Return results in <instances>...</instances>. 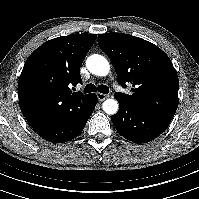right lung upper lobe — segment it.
Instances as JSON below:
<instances>
[{
    "label": "right lung upper lobe",
    "instance_id": "obj_1",
    "mask_svg": "<svg viewBox=\"0 0 199 199\" xmlns=\"http://www.w3.org/2000/svg\"><path fill=\"white\" fill-rule=\"evenodd\" d=\"M95 34H71L49 40L27 59L18 82L22 114L38 133L69 121L87 105L91 94L71 92L82 83L80 66Z\"/></svg>",
    "mask_w": 199,
    "mask_h": 199
}]
</instances>
